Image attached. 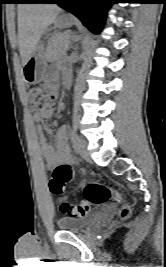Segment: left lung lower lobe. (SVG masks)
<instances>
[{
	"label": "left lung lower lobe",
	"instance_id": "obj_1",
	"mask_svg": "<svg viewBox=\"0 0 166 267\" xmlns=\"http://www.w3.org/2000/svg\"><path fill=\"white\" fill-rule=\"evenodd\" d=\"M78 17L93 33L98 34L105 23L107 11L113 0H48Z\"/></svg>",
	"mask_w": 166,
	"mask_h": 267
}]
</instances>
